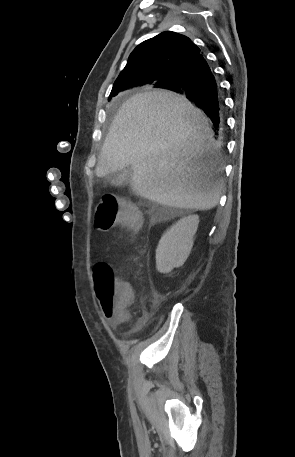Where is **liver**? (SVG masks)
<instances>
[{
    "instance_id": "liver-1",
    "label": "liver",
    "mask_w": 295,
    "mask_h": 457,
    "mask_svg": "<svg viewBox=\"0 0 295 457\" xmlns=\"http://www.w3.org/2000/svg\"><path fill=\"white\" fill-rule=\"evenodd\" d=\"M212 136L206 115L185 97L166 90L136 94L112 121L96 176L131 166L136 194L163 206L210 210L222 188Z\"/></svg>"
}]
</instances>
